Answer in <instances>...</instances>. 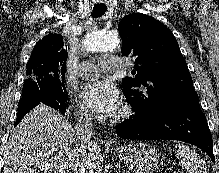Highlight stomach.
Listing matches in <instances>:
<instances>
[{
	"mask_svg": "<svg viewBox=\"0 0 219 173\" xmlns=\"http://www.w3.org/2000/svg\"><path fill=\"white\" fill-rule=\"evenodd\" d=\"M117 155L133 173H154L159 165V154L144 142H134L117 148Z\"/></svg>",
	"mask_w": 219,
	"mask_h": 173,
	"instance_id": "stomach-1",
	"label": "stomach"
}]
</instances>
